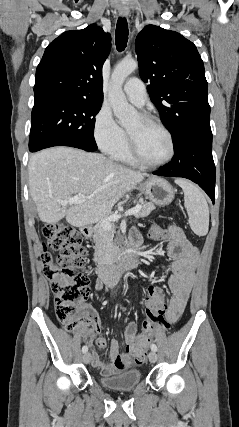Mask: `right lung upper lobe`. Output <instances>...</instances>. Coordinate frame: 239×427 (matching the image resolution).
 <instances>
[{
    "label": "right lung upper lobe",
    "instance_id": "1",
    "mask_svg": "<svg viewBox=\"0 0 239 427\" xmlns=\"http://www.w3.org/2000/svg\"><path fill=\"white\" fill-rule=\"evenodd\" d=\"M110 49V34L95 24L61 34L47 46L37 66L35 100L102 102V67Z\"/></svg>",
    "mask_w": 239,
    "mask_h": 427
}]
</instances>
